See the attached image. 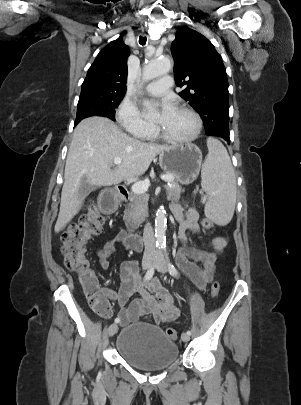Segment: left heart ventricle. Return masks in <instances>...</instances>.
<instances>
[{
    "instance_id": "obj_1",
    "label": "left heart ventricle",
    "mask_w": 301,
    "mask_h": 405,
    "mask_svg": "<svg viewBox=\"0 0 301 405\" xmlns=\"http://www.w3.org/2000/svg\"><path fill=\"white\" fill-rule=\"evenodd\" d=\"M154 122L160 125L168 134L175 137L189 136L195 128L193 117L179 109H175L169 114H157Z\"/></svg>"
}]
</instances>
